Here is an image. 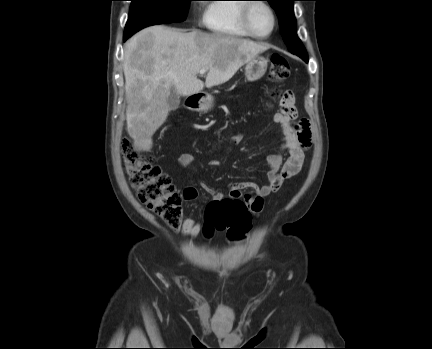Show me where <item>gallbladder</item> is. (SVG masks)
I'll return each instance as SVG.
<instances>
[{
	"mask_svg": "<svg viewBox=\"0 0 432 349\" xmlns=\"http://www.w3.org/2000/svg\"><path fill=\"white\" fill-rule=\"evenodd\" d=\"M167 103L169 110H176L180 105V97L173 89L167 98Z\"/></svg>",
	"mask_w": 432,
	"mask_h": 349,
	"instance_id": "obj_1",
	"label": "gallbladder"
}]
</instances>
